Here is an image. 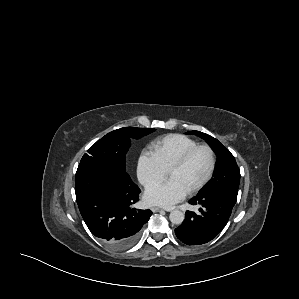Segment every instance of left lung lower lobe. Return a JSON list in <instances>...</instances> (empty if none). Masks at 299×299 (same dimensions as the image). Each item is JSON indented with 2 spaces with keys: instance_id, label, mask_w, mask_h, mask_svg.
Wrapping results in <instances>:
<instances>
[{
  "instance_id": "0a47b994",
  "label": "left lung lower lobe",
  "mask_w": 299,
  "mask_h": 299,
  "mask_svg": "<svg viewBox=\"0 0 299 299\" xmlns=\"http://www.w3.org/2000/svg\"><path fill=\"white\" fill-rule=\"evenodd\" d=\"M189 203L200 205L201 214L186 211L184 222L175 233L187 245H201L211 241L225 227L236 200L228 194L212 192L197 195Z\"/></svg>"
}]
</instances>
